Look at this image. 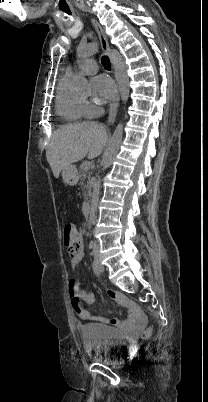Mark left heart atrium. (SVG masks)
I'll return each mask as SVG.
<instances>
[{"mask_svg": "<svg viewBox=\"0 0 208 402\" xmlns=\"http://www.w3.org/2000/svg\"><path fill=\"white\" fill-rule=\"evenodd\" d=\"M94 85L98 90L99 97L103 100L110 101L116 96V85L108 75L100 74L96 76Z\"/></svg>", "mask_w": 208, "mask_h": 402, "instance_id": "39dd6f15", "label": "left heart atrium"}]
</instances>
